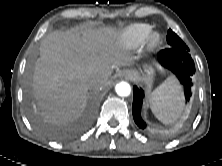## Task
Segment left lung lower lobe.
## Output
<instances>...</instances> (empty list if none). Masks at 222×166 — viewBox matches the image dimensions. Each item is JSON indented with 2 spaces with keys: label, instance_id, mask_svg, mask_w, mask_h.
Returning <instances> with one entry per match:
<instances>
[{
  "label": "left lung lower lobe",
  "instance_id": "left-lung-lower-lobe-1",
  "mask_svg": "<svg viewBox=\"0 0 222 166\" xmlns=\"http://www.w3.org/2000/svg\"><path fill=\"white\" fill-rule=\"evenodd\" d=\"M190 50L179 48H167L158 53L159 63L172 71L180 83L184 86L186 101H189L191 96L192 76L195 74V64L190 55ZM134 98L132 105V113L135 123L140 129H146L147 125L141 117V107L144 97V92L136 86L133 87Z\"/></svg>",
  "mask_w": 222,
  "mask_h": 166
}]
</instances>
